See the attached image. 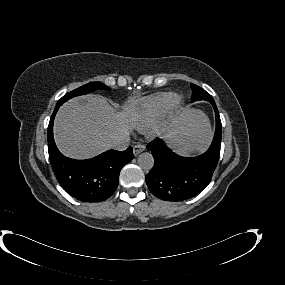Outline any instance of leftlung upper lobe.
I'll return each mask as SVG.
<instances>
[{"instance_id":"5c2ea615","label":"left lung upper lobe","mask_w":285,"mask_h":285,"mask_svg":"<svg viewBox=\"0 0 285 285\" xmlns=\"http://www.w3.org/2000/svg\"><path fill=\"white\" fill-rule=\"evenodd\" d=\"M191 88H192V97H191L192 102L198 100H206L210 102L213 100L212 96L204 89L200 88L199 86L191 84Z\"/></svg>"}]
</instances>
